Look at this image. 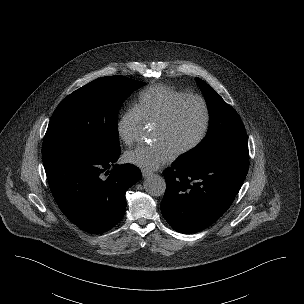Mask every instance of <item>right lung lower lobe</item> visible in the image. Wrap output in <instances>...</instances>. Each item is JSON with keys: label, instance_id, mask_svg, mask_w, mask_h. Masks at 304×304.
I'll return each mask as SVG.
<instances>
[{"label": "right lung lower lobe", "instance_id": "obj_1", "mask_svg": "<svg viewBox=\"0 0 304 304\" xmlns=\"http://www.w3.org/2000/svg\"><path fill=\"white\" fill-rule=\"evenodd\" d=\"M119 155L74 151L42 157L60 210L86 232L113 228L124 216L126 191L141 178L137 167L115 164Z\"/></svg>", "mask_w": 304, "mask_h": 304}]
</instances>
